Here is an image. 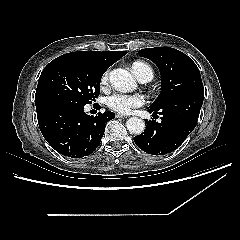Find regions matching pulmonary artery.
I'll list each match as a JSON object with an SVG mask.
<instances>
[{
	"label": "pulmonary artery",
	"instance_id": "obj_1",
	"mask_svg": "<svg viewBox=\"0 0 240 240\" xmlns=\"http://www.w3.org/2000/svg\"><path fill=\"white\" fill-rule=\"evenodd\" d=\"M140 81L143 82V83H145V82L150 81V79H149V78H142Z\"/></svg>",
	"mask_w": 240,
	"mask_h": 240
}]
</instances>
